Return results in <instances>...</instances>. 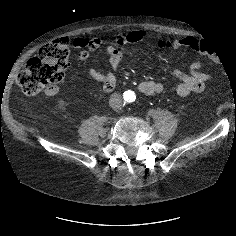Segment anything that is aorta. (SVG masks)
<instances>
[{
  "mask_svg": "<svg viewBox=\"0 0 236 236\" xmlns=\"http://www.w3.org/2000/svg\"><path fill=\"white\" fill-rule=\"evenodd\" d=\"M125 99L127 100V101H131L132 100V93L130 92V91H127V92H125Z\"/></svg>",
  "mask_w": 236,
  "mask_h": 236,
  "instance_id": "762f6f07",
  "label": "aorta"
}]
</instances>
